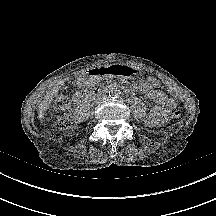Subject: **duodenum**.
<instances>
[{"instance_id": "1", "label": "duodenum", "mask_w": 216, "mask_h": 216, "mask_svg": "<svg viewBox=\"0 0 216 216\" xmlns=\"http://www.w3.org/2000/svg\"><path fill=\"white\" fill-rule=\"evenodd\" d=\"M109 89H110L109 86H103V87H100L98 90L80 92V93L75 95V101L81 102V101L95 98L96 96L102 94L103 92H105Z\"/></svg>"}]
</instances>
